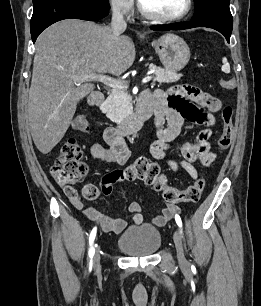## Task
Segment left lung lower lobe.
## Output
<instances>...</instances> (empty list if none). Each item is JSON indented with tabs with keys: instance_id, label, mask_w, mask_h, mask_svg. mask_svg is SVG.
<instances>
[{
	"instance_id": "obj_1",
	"label": "left lung lower lobe",
	"mask_w": 261,
	"mask_h": 306,
	"mask_svg": "<svg viewBox=\"0 0 261 306\" xmlns=\"http://www.w3.org/2000/svg\"><path fill=\"white\" fill-rule=\"evenodd\" d=\"M195 27H208L215 29L222 33L226 40L229 42L232 27H233V20H225V21H218V20H197L193 19L192 21L182 22V23H173V24H165V25H157L152 26L151 29L153 30H183V29H190Z\"/></svg>"
}]
</instances>
